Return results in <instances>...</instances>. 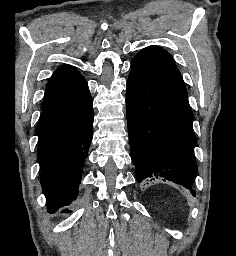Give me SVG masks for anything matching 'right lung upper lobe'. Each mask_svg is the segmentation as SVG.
Returning <instances> with one entry per match:
<instances>
[{
	"mask_svg": "<svg viewBox=\"0 0 236 256\" xmlns=\"http://www.w3.org/2000/svg\"><path fill=\"white\" fill-rule=\"evenodd\" d=\"M84 81V77L81 76L76 68L68 65L61 66L49 79L44 95L43 107L51 104L61 95L72 90Z\"/></svg>",
	"mask_w": 236,
	"mask_h": 256,
	"instance_id": "obj_1",
	"label": "right lung upper lobe"
}]
</instances>
